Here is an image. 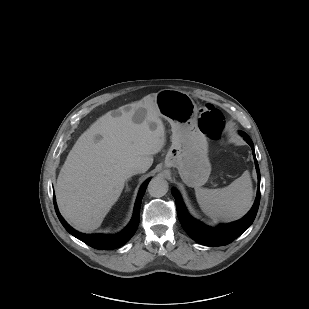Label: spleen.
Masks as SVG:
<instances>
[{
	"mask_svg": "<svg viewBox=\"0 0 309 309\" xmlns=\"http://www.w3.org/2000/svg\"><path fill=\"white\" fill-rule=\"evenodd\" d=\"M197 202L212 219L231 221L245 215L252 205V182L246 171L221 189L195 188Z\"/></svg>",
	"mask_w": 309,
	"mask_h": 309,
	"instance_id": "3e777b00",
	"label": "spleen"
}]
</instances>
